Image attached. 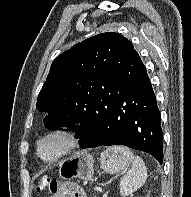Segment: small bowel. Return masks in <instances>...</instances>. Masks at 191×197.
Wrapping results in <instances>:
<instances>
[{"label": "small bowel", "instance_id": "small-bowel-1", "mask_svg": "<svg viewBox=\"0 0 191 197\" xmlns=\"http://www.w3.org/2000/svg\"><path fill=\"white\" fill-rule=\"evenodd\" d=\"M52 197H85L84 193L73 186H65V189L54 194Z\"/></svg>", "mask_w": 191, "mask_h": 197}]
</instances>
